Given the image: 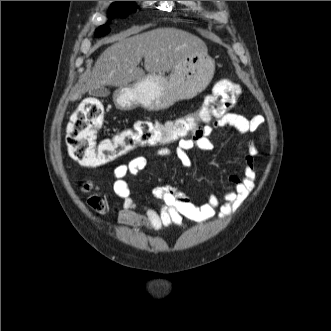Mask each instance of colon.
<instances>
[{
	"label": "colon",
	"instance_id": "1",
	"mask_svg": "<svg viewBox=\"0 0 331 331\" xmlns=\"http://www.w3.org/2000/svg\"><path fill=\"white\" fill-rule=\"evenodd\" d=\"M240 93L236 83L221 80L196 115L169 121L139 120L131 128L100 142L96 141V133L104 122V107L98 99H85L68 126L66 142L69 154L82 165L96 167L112 162L138 147L174 143L190 136L201 123L225 115L236 104ZM89 204L95 209L103 207L98 197H92Z\"/></svg>",
	"mask_w": 331,
	"mask_h": 331
}]
</instances>
